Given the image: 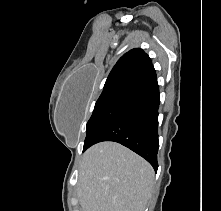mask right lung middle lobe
I'll return each mask as SVG.
<instances>
[{
    "instance_id": "dd1d6c3e",
    "label": "right lung middle lobe",
    "mask_w": 221,
    "mask_h": 211,
    "mask_svg": "<svg viewBox=\"0 0 221 211\" xmlns=\"http://www.w3.org/2000/svg\"><path fill=\"white\" fill-rule=\"evenodd\" d=\"M135 93L136 90L133 89H117L100 95L87 122L84 145L89 144L98 135Z\"/></svg>"
}]
</instances>
